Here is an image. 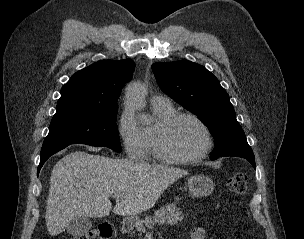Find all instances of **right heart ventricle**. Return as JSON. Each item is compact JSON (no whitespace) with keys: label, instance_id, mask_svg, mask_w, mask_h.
<instances>
[{"label":"right heart ventricle","instance_id":"e07e8e85","mask_svg":"<svg viewBox=\"0 0 304 239\" xmlns=\"http://www.w3.org/2000/svg\"><path fill=\"white\" fill-rule=\"evenodd\" d=\"M151 108L156 117V121L152 126L144 128V131L148 142V152L153 155L154 159L158 160L154 153L156 131L166 118L176 112V109L170 101L151 102Z\"/></svg>","mask_w":304,"mask_h":239}]
</instances>
